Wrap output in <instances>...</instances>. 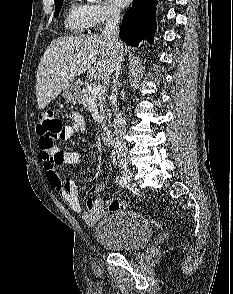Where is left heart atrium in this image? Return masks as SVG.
<instances>
[{"label": "left heart atrium", "instance_id": "1", "mask_svg": "<svg viewBox=\"0 0 233 294\" xmlns=\"http://www.w3.org/2000/svg\"><path fill=\"white\" fill-rule=\"evenodd\" d=\"M131 1L132 0H112V2L119 7H125L129 5Z\"/></svg>", "mask_w": 233, "mask_h": 294}]
</instances>
